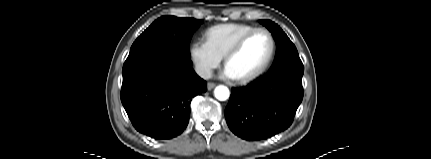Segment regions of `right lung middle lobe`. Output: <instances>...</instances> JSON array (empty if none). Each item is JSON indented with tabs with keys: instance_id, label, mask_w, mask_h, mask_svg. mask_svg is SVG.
<instances>
[{
	"instance_id": "right-lung-middle-lobe-1",
	"label": "right lung middle lobe",
	"mask_w": 431,
	"mask_h": 159,
	"mask_svg": "<svg viewBox=\"0 0 431 159\" xmlns=\"http://www.w3.org/2000/svg\"><path fill=\"white\" fill-rule=\"evenodd\" d=\"M203 20L162 16L155 20L132 44L130 54L150 46H164L190 58L189 43Z\"/></svg>"
}]
</instances>
